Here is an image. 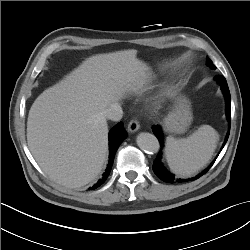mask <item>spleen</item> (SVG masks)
<instances>
[{
  "mask_svg": "<svg viewBox=\"0 0 250 250\" xmlns=\"http://www.w3.org/2000/svg\"><path fill=\"white\" fill-rule=\"evenodd\" d=\"M219 134L209 126L202 125L187 138L167 137L165 156L176 175L187 177L202 169L212 158Z\"/></svg>",
  "mask_w": 250,
  "mask_h": 250,
  "instance_id": "1",
  "label": "spleen"
}]
</instances>
